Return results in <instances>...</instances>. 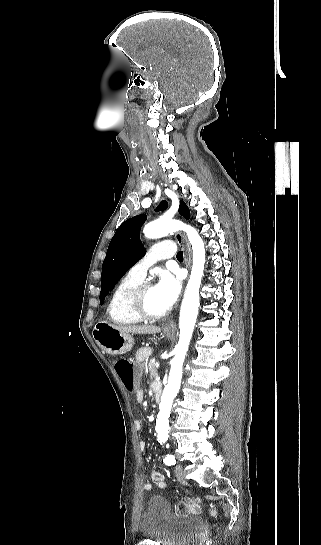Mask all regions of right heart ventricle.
Instances as JSON below:
<instances>
[{
    "instance_id": "obj_1",
    "label": "right heart ventricle",
    "mask_w": 321,
    "mask_h": 545,
    "mask_svg": "<svg viewBox=\"0 0 321 545\" xmlns=\"http://www.w3.org/2000/svg\"><path fill=\"white\" fill-rule=\"evenodd\" d=\"M142 280L129 274L124 275L115 286L106 307L109 321L115 326H130L140 320L133 317L127 309V298L131 290L140 284Z\"/></svg>"
}]
</instances>
